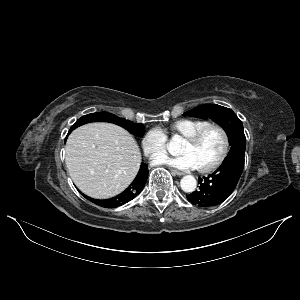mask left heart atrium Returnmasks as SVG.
I'll use <instances>...</instances> for the list:
<instances>
[{"label":"left heart atrium","instance_id":"obj_1","mask_svg":"<svg viewBox=\"0 0 300 300\" xmlns=\"http://www.w3.org/2000/svg\"><path fill=\"white\" fill-rule=\"evenodd\" d=\"M153 163L156 165H167L179 170H194L198 168L192 156L187 153L175 157L160 155L154 158Z\"/></svg>","mask_w":300,"mask_h":300}]
</instances>
